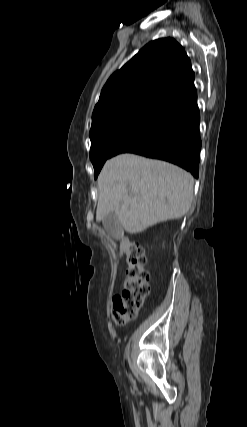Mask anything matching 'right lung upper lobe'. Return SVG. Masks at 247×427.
Instances as JSON below:
<instances>
[{
  "label": "right lung upper lobe",
  "instance_id": "right-lung-upper-lobe-1",
  "mask_svg": "<svg viewBox=\"0 0 247 427\" xmlns=\"http://www.w3.org/2000/svg\"><path fill=\"white\" fill-rule=\"evenodd\" d=\"M194 78L190 59L179 43L173 38L152 41L111 75L101 91L92 121L128 107L157 108L192 87Z\"/></svg>",
  "mask_w": 247,
  "mask_h": 427
}]
</instances>
